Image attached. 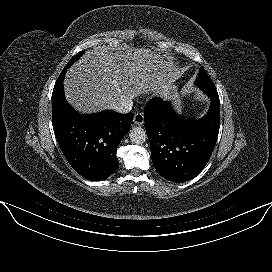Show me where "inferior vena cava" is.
Masks as SVG:
<instances>
[{"label":"inferior vena cava","instance_id":"1","mask_svg":"<svg viewBox=\"0 0 272 272\" xmlns=\"http://www.w3.org/2000/svg\"><path fill=\"white\" fill-rule=\"evenodd\" d=\"M133 107V100L131 98H124L121 99L118 103L114 104L111 109L114 111L126 114L129 113L132 110Z\"/></svg>","mask_w":272,"mask_h":272}]
</instances>
